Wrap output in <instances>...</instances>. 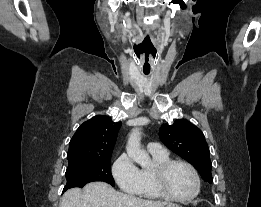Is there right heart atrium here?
Returning <instances> with one entry per match:
<instances>
[{
	"mask_svg": "<svg viewBox=\"0 0 261 207\" xmlns=\"http://www.w3.org/2000/svg\"><path fill=\"white\" fill-rule=\"evenodd\" d=\"M112 176L122 191L132 195L139 194L142 185L141 172L127 154L123 153L115 160Z\"/></svg>",
	"mask_w": 261,
	"mask_h": 207,
	"instance_id": "d8ad5b80",
	"label": "right heart atrium"
}]
</instances>
